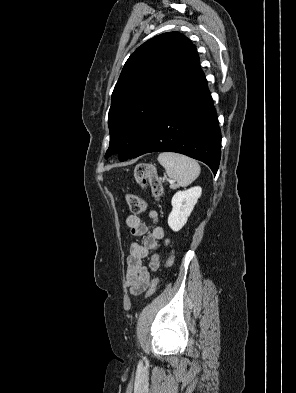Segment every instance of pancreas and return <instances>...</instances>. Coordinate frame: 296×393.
Returning a JSON list of instances; mask_svg holds the SVG:
<instances>
[{
	"label": "pancreas",
	"mask_w": 296,
	"mask_h": 393,
	"mask_svg": "<svg viewBox=\"0 0 296 393\" xmlns=\"http://www.w3.org/2000/svg\"><path fill=\"white\" fill-rule=\"evenodd\" d=\"M170 188H176V185L171 184V185H170Z\"/></svg>",
	"instance_id": "1"
}]
</instances>
